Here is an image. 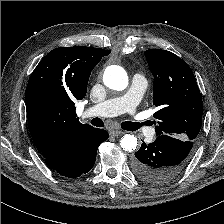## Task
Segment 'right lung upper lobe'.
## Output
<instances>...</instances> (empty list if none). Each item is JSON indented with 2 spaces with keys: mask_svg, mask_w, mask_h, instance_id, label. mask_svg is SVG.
I'll return each mask as SVG.
<instances>
[{
  "mask_svg": "<svg viewBox=\"0 0 224 224\" xmlns=\"http://www.w3.org/2000/svg\"><path fill=\"white\" fill-rule=\"evenodd\" d=\"M110 52L84 46L59 47L32 72L25 91L28 128L43 157L92 128L79 122L74 101L86 95L91 71Z\"/></svg>",
  "mask_w": 224,
  "mask_h": 224,
  "instance_id": "1",
  "label": "right lung upper lobe"
}]
</instances>
